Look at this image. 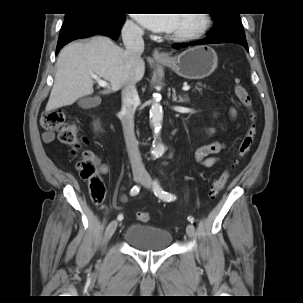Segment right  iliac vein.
Here are the masks:
<instances>
[{"mask_svg": "<svg viewBox=\"0 0 303 303\" xmlns=\"http://www.w3.org/2000/svg\"><path fill=\"white\" fill-rule=\"evenodd\" d=\"M134 181L135 182H141L144 179V175L140 174V173H135L133 175ZM118 226V221L117 220H113L111 221L105 231V236H104V241L108 242L110 240V238L113 236V234L115 233L116 229Z\"/></svg>", "mask_w": 303, "mask_h": 303, "instance_id": "right-iliac-vein-1", "label": "right iliac vein"}]
</instances>
